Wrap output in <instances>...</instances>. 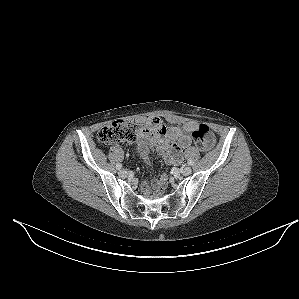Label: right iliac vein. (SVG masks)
Returning a JSON list of instances; mask_svg holds the SVG:
<instances>
[{
    "instance_id": "right-iliac-vein-1",
    "label": "right iliac vein",
    "mask_w": 299,
    "mask_h": 299,
    "mask_svg": "<svg viewBox=\"0 0 299 299\" xmlns=\"http://www.w3.org/2000/svg\"><path fill=\"white\" fill-rule=\"evenodd\" d=\"M119 176L122 177V178H126L128 173L126 170L122 169L118 172Z\"/></svg>"
}]
</instances>
